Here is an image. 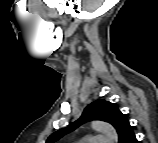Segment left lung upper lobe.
<instances>
[{
  "label": "left lung upper lobe",
  "mask_w": 158,
  "mask_h": 143,
  "mask_svg": "<svg viewBox=\"0 0 158 143\" xmlns=\"http://www.w3.org/2000/svg\"><path fill=\"white\" fill-rule=\"evenodd\" d=\"M93 119L110 123L118 133L119 143H125L129 137L134 135L133 128L130 125L127 116L123 114L114 103L104 99H99L89 104L77 121L50 135L46 143H53L64 135L75 130L81 124Z\"/></svg>",
  "instance_id": "obj_1"
}]
</instances>
